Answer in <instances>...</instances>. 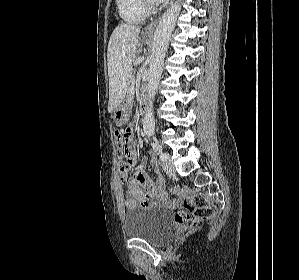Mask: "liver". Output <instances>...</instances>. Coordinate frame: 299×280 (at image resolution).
<instances>
[{
  "instance_id": "liver-1",
  "label": "liver",
  "mask_w": 299,
  "mask_h": 280,
  "mask_svg": "<svg viewBox=\"0 0 299 280\" xmlns=\"http://www.w3.org/2000/svg\"><path fill=\"white\" fill-rule=\"evenodd\" d=\"M140 27L119 24L111 34L107 49L109 75L108 112H113L124 100L131 74L132 62L139 43Z\"/></svg>"
}]
</instances>
